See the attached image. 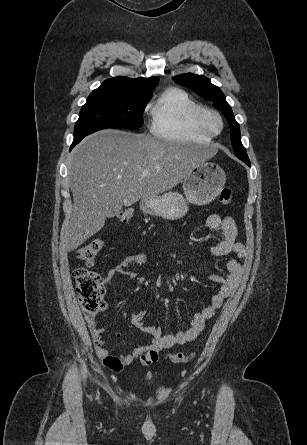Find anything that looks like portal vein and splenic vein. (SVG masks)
I'll use <instances>...</instances> for the list:
<instances>
[{"label": "portal vein and splenic vein", "instance_id": "1", "mask_svg": "<svg viewBox=\"0 0 307 445\" xmlns=\"http://www.w3.org/2000/svg\"><path fill=\"white\" fill-rule=\"evenodd\" d=\"M147 174H149V170H146V168H144V170H142L141 176H147Z\"/></svg>", "mask_w": 307, "mask_h": 445}]
</instances>
